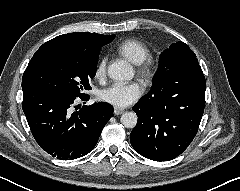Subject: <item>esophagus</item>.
Instances as JSON below:
<instances>
[{"label": "esophagus", "instance_id": "1", "mask_svg": "<svg viewBox=\"0 0 240 191\" xmlns=\"http://www.w3.org/2000/svg\"><path fill=\"white\" fill-rule=\"evenodd\" d=\"M122 113H124L123 109H121V108H114V114L115 115H120Z\"/></svg>", "mask_w": 240, "mask_h": 191}]
</instances>
